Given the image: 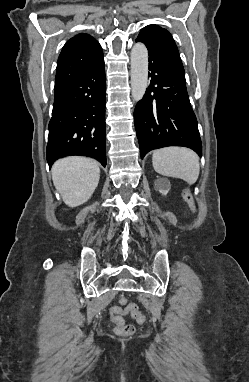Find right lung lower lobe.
I'll return each instance as SVG.
<instances>
[{"label":"right lung lower lobe","instance_id":"right-lung-lower-lobe-1","mask_svg":"<svg viewBox=\"0 0 249 382\" xmlns=\"http://www.w3.org/2000/svg\"><path fill=\"white\" fill-rule=\"evenodd\" d=\"M105 68L98 61L55 91L46 156L49 166L65 156L93 157L106 166Z\"/></svg>","mask_w":249,"mask_h":382}]
</instances>
